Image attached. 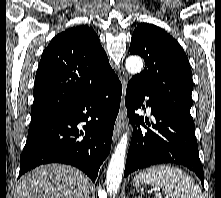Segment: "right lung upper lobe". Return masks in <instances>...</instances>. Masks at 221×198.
I'll use <instances>...</instances> for the list:
<instances>
[{"label":"right lung upper lobe","instance_id":"obj_1","mask_svg":"<svg viewBox=\"0 0 221 198\" xmlns=\"http://www.w3.org/2000/svg\"><path fill=\"white\" fill-rule=\"evenodd\" d=\"M116 79L92 28L77 26L59 33L40 60L31 122L79 102Z\"/></svg>","mask_w":221,"mask_h":198}]
</instances>
